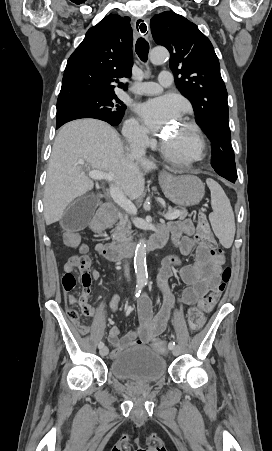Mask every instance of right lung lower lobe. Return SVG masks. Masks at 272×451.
I'll return each mask as SVG.
<instances>
[{"mask_svg": "<svg viewBox=\"0 0 272 451\" xmlns=\"http://www.w3.org/2000/svg\"><path fill=\"white\" fill-rule=\"evenodd\" d=\"M63 124H59V125H56V128H59L60 126H62Z\"/></svg>", "mask_w": 272, "mask_h": 451, "instance_id": "98d812e1", "label": "right lung lower lobe"}]
</instances>
